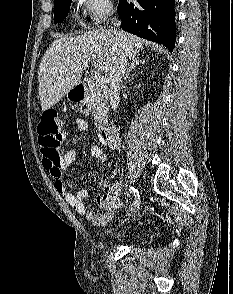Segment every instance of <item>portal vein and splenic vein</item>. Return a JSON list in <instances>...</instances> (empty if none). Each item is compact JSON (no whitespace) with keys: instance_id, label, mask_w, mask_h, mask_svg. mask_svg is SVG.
Instances as JSON below:
<instances>
[{"instance_id":"1","label":"portal vein and splenic vein","mask_w":233,"mask_h":294,"mask_svg":"<svg viewBox=\"0 0 233 294\" xmlns=\"http://www.w3.org/2000/svg\"><path fill=\"white\" fill-rule=\"evenodd\" d=\"M85 65L88 64V61H85L84 62ZM105 78L104 76H98L96 77V80H95V86L98 88V89H103L105 87Z\"/></svg>"}]
</instances>
